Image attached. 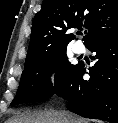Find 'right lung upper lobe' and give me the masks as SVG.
Segmentation results:
<instances>
[{
	"mask_svg": "<svg viewBox=\"0 0 118 123\" xmlns=\"http://www.w3.org/2000/svg\"><path fill=\"white\" fill-rule=\"evenodd\" d=\"M88 30L84 44L118 33V0H45L35 15L25 66L67 48L71 28Z\"/></svg>",
	"mask_w": 118,
	"mask_h": 123,
	"instance_id": "right-lung-upper-lobe-1",
	"label": "right lung upper lobe"
}]
</instances>
